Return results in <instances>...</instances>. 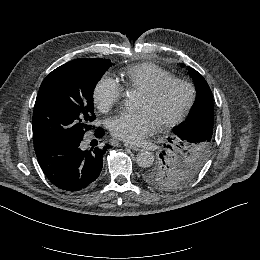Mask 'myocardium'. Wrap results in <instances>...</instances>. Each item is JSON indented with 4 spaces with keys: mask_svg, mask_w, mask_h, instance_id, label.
<instances>
[{
    "mask_svg": "<svg viewBox=\"0 0 260 260\" xmlns=\"http://www.w3.org/2000/svg\"><path fill=\"white\" fill-rule=\"evenodd\" d=\"M172 85H181L188 91V100L185 106L172 118L158 124L156 127L158 130H165L172 128L182 122L184 118L190 113L196 101V88L190 82L182 78H169L159 82L153 88L143 91L142 94L150 100H155L163 95L166 90Z\"/></svg>",
    "mask_w": 260,
    "mask_h": 260,
    "instance_id": "obj_1",
    "label": "myocardium"
}]
</instances>
